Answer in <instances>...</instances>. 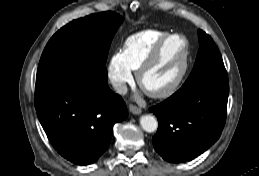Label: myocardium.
Masks as SVG:
<instances>
[{
  "mask_svg": "<svg viewBox=\"0 0 259 176\" xmlns=\"http://www.w3.org/2000/svg\"><path fill=\"white\" fill-rule=\"evenodd\" d=\"M172 38H180L184 42V53L182 58V64L179 73L175 77V79L168 84L167 86L159 89V90H147L143 86V77L144 74L149 70V68L157 61L160 57L166 43ZM191 54V45L189 40L182 34L178 33H169L164 36L159 42L154 46L152 51L146 57V59L142 62L136 72V78L139 86L152 98H165L172 95L182 83L189 67V60Z\"/></svg>",
  "mask_w": 259,
  "mask_h": 176,
  "instance_id": "myocardium-1",
  "label": "myocardium"
}]
</instances>
